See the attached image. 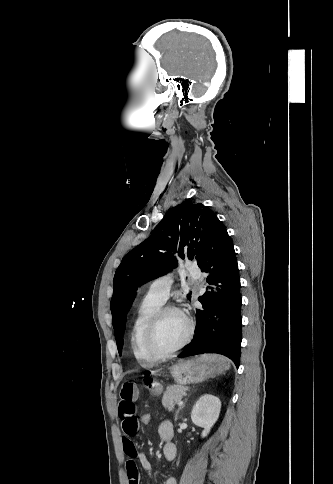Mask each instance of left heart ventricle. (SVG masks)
Wrapping results in <instances>:
<instances>
[{"label": "left heart ventricle", "instance_id": "1", "mask_svg": "<svg viewBox=\"0 0 333 484\" xmlns=\"http://www.w3.org/2000/svg\"><path fill=\"white\" fill-rule=\"evenodd\" d=\"M187 330V321L181 313L170 312L166 314L157 328L156 347L161 351L172 350L183 341Z\"/></svg>", "mask_w": 333, "mask_h": 484}]
</instances>
